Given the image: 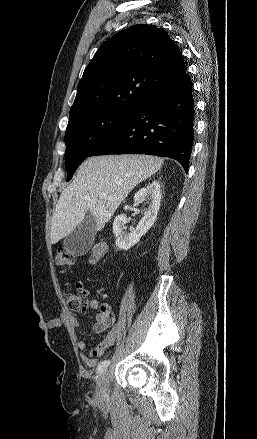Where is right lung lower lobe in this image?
<instances>
[{
    "label": "right lung lower lobe",
    "mask_w": 257,
    "mask_h": 439,
    "mask_svg": "<svg viewBox=\"0 0 257 439\" xmlns=\"http://www.w3.org/2000/svg\"><path fill=\"white\" fill-rule=\"evenodd\" d=\"M193 126L192 82L185 73L145 99L89 156L149 154L170 157L179 161L187 172Z\"/></svg>",
    "instance_id": "right-lung-lower-lobe-1"
}]
</instances>
